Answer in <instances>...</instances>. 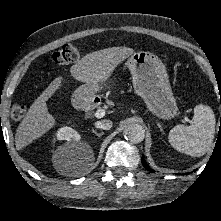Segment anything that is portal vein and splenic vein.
I'll list each match as a JSON object with an SVG mask.
<instances>
[{"label": "portal vein and splenic vein", "mask_w": 221, "mask_h": 221, "mask_svg": "<svg viewBox=\"0 0 221 221\" xmlns=\"http://www.w3.org/2000/svg\"><path fill=\"white\" fill-rule=\"evenodd\" d=\"M105 116V110L104 109H98L96 112H95V117L100 119L102 117ZM185 120L188 121V118L185 117Z\"/></svg>", "instance_id": "1"}]
</instances>
